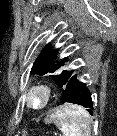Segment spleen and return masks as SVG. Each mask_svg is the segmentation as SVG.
Segmentation results:
<instances>
[{
	"mask_svg": "<svg viewBox=\"0 0 117 136\" xmlns=\"http://www.w3.org/2000/svg\"><path fill=\"white\" fill-rule=\"evenodd\" d=\"M47 123H54L64 136H89L91 119L81 106L65 104L56 108L48 117Z\"/></svg>",
	"mask_w": 117,
	"mask_h": 136,
	"instance_id": "spleen-1",
	"label": "spleen"
}]
</instances>
